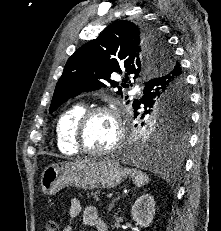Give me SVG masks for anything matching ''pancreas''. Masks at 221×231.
<instances>
[{
	"label": "pancreas",
	"instance_id": "1",
	"mask_svg": "<svg viewBox=\"0 0 221 231\" xmlns=\"http://www.w3.org/2000/svg\"><path fill=\"white\" fill-rule=\"evenodd\" d=\"M90 196H92L96 201H100V198L97 192H91Z\"/></svg>",
	"mask_w": 221,
	"mask_h": 231
}]
</instances>
